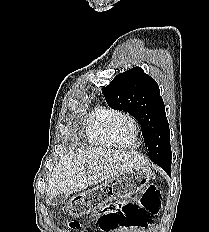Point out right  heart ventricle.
I'll return each mask as SVG.
<instances>
[{
	"label": "right heart ventricle",
	"instance_id": "e07e8e85",
	"mask_svg": "<svg viewBox=\"0 0 209 232\" xmlns=\"http://www.w3.org/2000/svg\"><path fill=\"white\" fill-rule=\"evenodd\" d=\"M115 108L107 105H101L95 108L89 116L86 133L89 142L100 149H114L116 146L113 144L109 137L108 128L112 119L119 114ZM137 147V141L134 139L131 144V149Z\"/></svg>",
	"mask_w": 209,
	"mask_h": 232
}]
</instances>
